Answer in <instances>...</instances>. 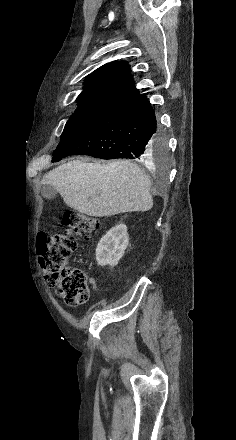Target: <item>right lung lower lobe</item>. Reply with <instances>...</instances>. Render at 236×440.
Instances as JSON below:
<instances>
[{
  "label": "right lung lower lobe",
  "instance_id": "obj_1",
  "mask_svg": "<svg viewBox=\"0 0 236 440\" xmlns=\"http://www.w3.org/2000/svg\"><path fill=\"white\" fill-rule=\"evenodd\" d=\"M159 133L152 105L146 94H140L113 108L88 129L57 148L53 161H60L68 155L148 161Z\"/></svg>",
  "mask_w": 236,
  "mask_h": 440
}]
</instances>
